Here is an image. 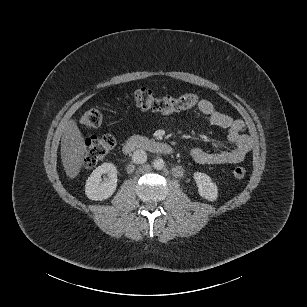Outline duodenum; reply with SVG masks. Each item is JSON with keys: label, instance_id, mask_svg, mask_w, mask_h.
Returning a JSON list of instances; mask_svg holds the SVG:
<instances>
[{"label": "duodenum", "instance_id": "obj_1", "mask_svg": "<svg viewBox=\"0 0 307 307\" xmlns=\"http://www.w3.org/2000/svg\"><path fill=\"white\" fill-rule=\"evenodd\" d=\"M138 149L163 155H170L173 152V148L169 144L141 136L129 138L123 146V151L125 153H131Z\"/></svg>", "mask_w": 307, "mask_h": 307}]
</instances>
